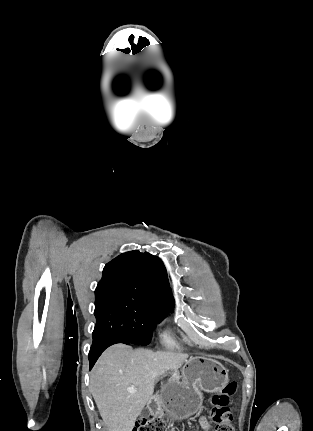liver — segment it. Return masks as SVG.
Wrapping results in <instances>:
<instances>
[{"mask_svg":"<svg viewBox=\"0 0 313 431\" xmlns=\"http://www.w3.org/2000/svg\"><path fill=\"white\" fill-rule=\"evenodd\" d=\"M187 358L188 354L133 350L125 344L105 350L91 372L90 389L109 431H132L153 398L155 383L168 372L177 378ZM128 387L137 392L130 394Z\"/></svg>","mask_w":313,"mask_h":431,"instance_id":"6515ba94","label":"liver"}]
</instances>
